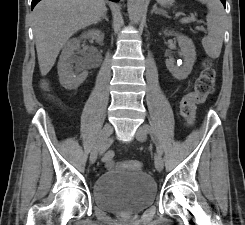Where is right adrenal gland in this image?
<instances>
[{
  "mask_svg": "<svg viewBox=\"0 0 245 225\" xmlns=\"http://www.w3.org/2000/svg\"><path fill=\"white\" fill-rule=\"evenodd\" d=\"M106 14H107V9H106V11L103 13L102 17L99 19V22H101L103 19H105L107 22L109 21V19L107 18Z\"/></svg>",
  "mask_w": 245,
  "mask_h": 225,
  "instance_id": "2a0ac1e0",
  "label": "right adrenal gland"
}]
</instances>
